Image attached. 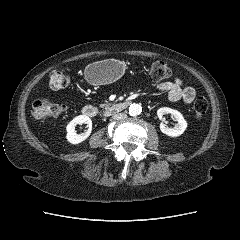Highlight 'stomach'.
Wrapping results in <instances>:
<instances>
[{
	"mask_svg": "<svg viewBox=\"0 0 240 240\" xmlns=\"http://www.w3.org/2000/svg\"><path fill=\"white\" fill-rule=\"evenodd\" d=\"M124 72V65L116 60L107 59L89 64L85 77L93 85L110 84L118 80Z\"/></svg>",
	"mask_w": 240,
	"mask_h": 240,
	"instance_id": "1",
	"label": "stomach"
}]
</instances>
